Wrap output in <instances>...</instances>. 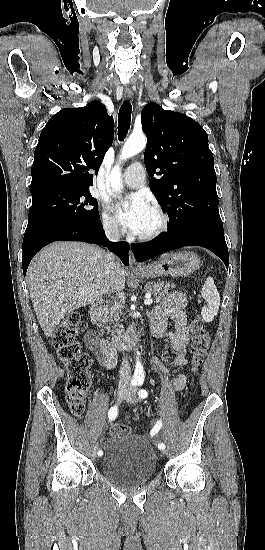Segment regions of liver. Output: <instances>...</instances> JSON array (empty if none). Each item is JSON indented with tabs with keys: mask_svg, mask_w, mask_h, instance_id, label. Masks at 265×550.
I'll return each mask as SVG.
<instances>
[{
	"mask_svg": "<svg viewBox=\"0 0 265 550\" xmlns=\"http://www.w3.org/2000/svg\"><path fill=\"white\" fill-rule=\"evenodd\" d=\"M106 252L83 242L58 241L40 251L27 271L30 298L46 337L68 314L125 287L119 260L115 277L107 274ZM84 291V293H81Z\"/></svg>",
	"mask_w": 265,
	"mask_h": 550,
	"instance_id": "1",
	"label": "liver"
}]
</instances>
